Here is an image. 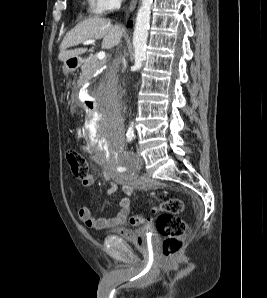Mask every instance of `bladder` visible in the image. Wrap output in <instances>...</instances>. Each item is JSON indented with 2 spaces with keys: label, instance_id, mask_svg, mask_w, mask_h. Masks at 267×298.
I'll return each mask as SVG.
<instances>
[{
  "label": "bladder",
  "instance_id": "obj_1",
  "mask_svg": "<svg viewBox=\"0 0 267 298\" xmlns=\"http://www.w3.org/2000/svg\"><path fill=\"white\" fill-rule=\"evenodd\" d=\"M119 237L142 250H148L156 241V236L150 225L133 230L128 235L121 234Z\"/></svg>",
  "mask_w": 267,
  "mask_h": 298
}]
</instances>
